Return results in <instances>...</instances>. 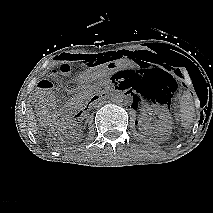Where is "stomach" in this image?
Listing matches in <instances>:
<instances>
[{
	"label": "stomach",
	"mask_w": 213,
	"mask_h": 213,
	"mask_svg": "<svg viewBox=\"0 0 213 213\" xmlns=\"http://www.w3.org/2000/svg\"><path fill=\"white\" fill-rule=\"evenodd\" d=\"M128 66V61L125 58H118L104 65L102 63H96L87 70V76L82 77L81 81L95 80L104 71L106 73H112L121 69H125Z\"/></svg>",
	"instance_id": "0dacf381"
}]
</instances>
